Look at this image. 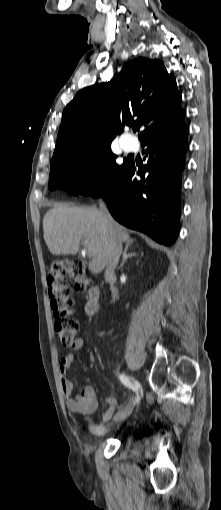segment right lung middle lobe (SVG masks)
<instances>
[{"mask_svg":"<svg viewBox=\"0 0 221 510\" xmlns=\"http://www.w3.org/2000/svg\"><path fill=\"white\" fill-rule=\"evenodd\" d=\"M116 158L110 144L72 150L51 163L48 187L94 196L112 183L129 162L124 160L119 165Z\"/></svg>","mask_w":221,"mask_h":510,"instance_id":"right-lung-middle-lobe-1","label":"right lung middle lobe"}]
</instances>
